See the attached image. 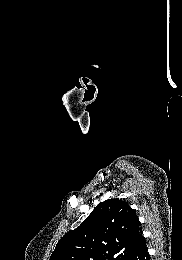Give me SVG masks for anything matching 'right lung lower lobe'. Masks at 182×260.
<instances>
[{
  "instance_id": "1",
  "label": "right lung lower lobe",
  "mask_w": 182,
  "mask_h": 260,
  "mask_svg": "<svg viewBox=\"0 0 182 260\" xmlns=\"http://www.w3.org/2000/svg\"><path fill=\"white\" fill-rule=\"evenodd\" d=\"M146 241L142 242L137 248L129 252L122 260H149Z\"/></svg>"
}]
</instances>
